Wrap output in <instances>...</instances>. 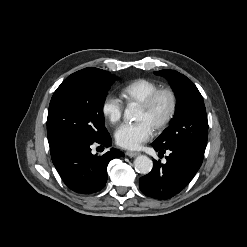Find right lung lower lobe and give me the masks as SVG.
Listing matches in <instances>:
<instances>
[{
    "mask_svg": "<svg viewBox=\"0 0 247 247\" xmlns=\"http://www.w3.org/2000/svg\"><path fill=\"white\" fill-rule=\"evenodd\" d=\"M98 143L109 147L112 140L108 132L95 142H79L51 153L52 162L64 183L73 191L91 194L103 188L107 182V165L124 154L111 148L101 156L93 155L90 146Z\"/></svg>",
    "mask_w": 247,
    "mask_h": 247,
    "instance_id": "right-lung-lower-lobe-1",
    "label": "right lung lower lobe"
}]
</instances>
